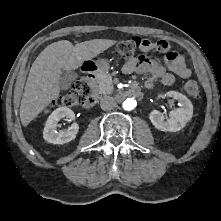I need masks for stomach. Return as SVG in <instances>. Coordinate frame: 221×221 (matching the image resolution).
<instances>
[{"label": "stomach", "mask_w": 221, "mask_h": 221, "mask_svg": "<svg viewBox=\"0 0 221 221\" xmlns=\"http://www.w3.org/2000/svg\"><path fill=\"white\" fill-rule=\"evenodd\" d=\"M96 65L100 71H105L108 68V64L105 60L97 61Z\"/></svg>", "instance_id": "0dacf381"}]
</instances>
